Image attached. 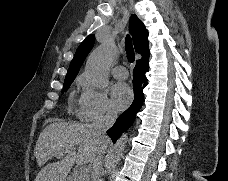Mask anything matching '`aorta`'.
I'll use <instances>...</instances> for the list:
<instances>
[{
    "mask_svg": "<svg viewBox=\"0 0 228 181\" xmlns=\"http://www.w3.org/2000/svg\"><path fill=\"white\" fill-rule=\"evenodd\" d=\"M116 52L114 42L109 40L97 47L88 57L85 72L92 84L97 88L102 89L108 85L109 68ZM127 141V133H124L115 144L113 155L114 164H117L123 155Z\"/></svg>",
    "mask_w": 228,
    "mask_h": 181,
    "instance_id": "aorta-1",
    "label": "aorta"
}]
</instances>
